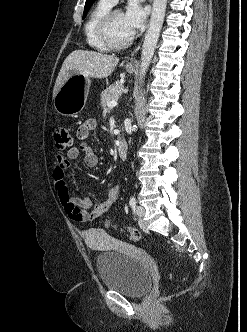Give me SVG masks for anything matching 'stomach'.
<instances>
[{
	"label": "stomach",
	"mask_w": 247,
	"mask_h": 332,
	"mask_svg": "<svg viewBox=\"0 0 247 332\" xmlns=\"http://www.w3.org/2000/svg\"><path fill=\"white\" fill-rule=\"evenodd\" d=\"M132 73L134 68H126ZM91 80L82 73L71 75L60 87L54 97V108L63 116H75L85 106L89 94Z\"/></svg>",
	"instance_id": "0dacf381"
}]
</instances>
